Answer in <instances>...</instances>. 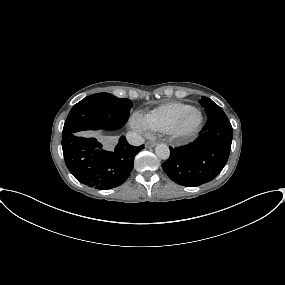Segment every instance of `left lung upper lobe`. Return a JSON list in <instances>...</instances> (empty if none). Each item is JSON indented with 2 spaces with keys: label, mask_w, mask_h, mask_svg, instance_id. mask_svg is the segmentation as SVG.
Listing matches in <instances>:
<instances>
[{
  "label": "left lung upper lobe",
  "mask_w": 285,
  "mask_h": 285,
  "mask_svg": "<svg viewBox=\"0 0 285 285\" xmlns=\"http://www.w3.org/2000/svg\"><path fill=\"white\" fill-rule=\"evenodd\" d=\"M199 102L201 106L205 108V112L208 118L214 115L225 114L220 106L205 96H202Z\"/></svg>",
  "instance_id": "1"
}]
</instances>
